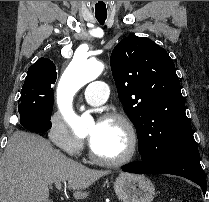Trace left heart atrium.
<instances>
[{"label":"left heart atrium","instance_id":"left-heart-atrium-1","mask_svg":"<svg viewBox=\"0 0 209 202\" xmlns=\"http://www.w3.org/2000/svg\"><path fill=\"white\" fill-rule=\"evenodd\" d=\"M94 137H95V135L90 136V138H89L90 142L93 141Z\"/></svg>","mask_w":209,"mask_h":202}]
</instances>
